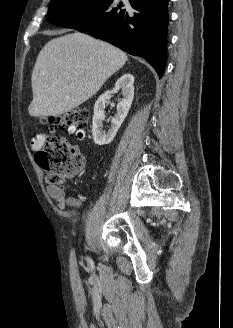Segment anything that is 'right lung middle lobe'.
<instances>
[{"mask_svg": "<svg viewBox=\"0 0 233 328\" xmlns=\"http://www.w3.org/2000/svg\"><path fill=\"white\" fill-rule=\"evenodd\" d=\"M98 0H51L46 15L47 21L55 23L57 20L80 11Z\"/></svg>", "mask_w": 233, "mask_h": 328, "instance_id": "dd1d6c3e", "label": "right lung middle lobe"}]
</instances>
